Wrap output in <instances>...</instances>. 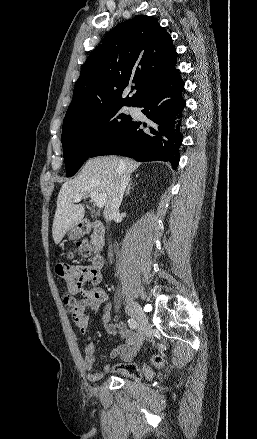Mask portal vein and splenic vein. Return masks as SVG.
Masks as SVG:
<instances>
[{
	"mask_svg": "<svg viewBox=\"0 0 257 439\" xmlns=\"http://www.w3.org/2000/svg\"><path fill=\"white\" fill-rule=\"evenodd\" d=\"M88 195L96 203L98 208L104 207L105 204L107 203V196H106V194H98L96 192H90ZM81 199H82V195L78 194V195L75 196L73 201L75 203H78V202L81 201Z\"/></svg>",
	"mask_w": 257,
	"mask_h": 439,
	"instance_id": "18ae733b",
	"label": "portal vein and splenic vein"
}]
</instances>
